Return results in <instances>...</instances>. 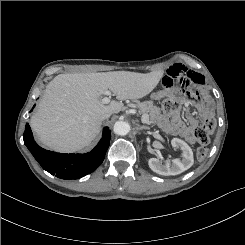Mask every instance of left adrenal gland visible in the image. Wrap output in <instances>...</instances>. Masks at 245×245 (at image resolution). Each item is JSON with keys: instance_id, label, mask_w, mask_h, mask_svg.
I'll return each instance as SVG.
<instances>
[{"instance_id": "1", "label": "left adrenal gland", "mask_w": 245, "mask_h": 245, "mask_svg": "<svg viewBox=\"0 0 245 245\" xmlns=\"http://www.w3.org/2000/svg\"><path fill=\"white\" fill-rule=\"evenodd\" d=\"M136 130H138V131L149 130V128L147 126H137Z\"/></svg>"}]
</instances>
